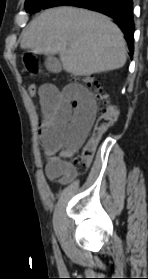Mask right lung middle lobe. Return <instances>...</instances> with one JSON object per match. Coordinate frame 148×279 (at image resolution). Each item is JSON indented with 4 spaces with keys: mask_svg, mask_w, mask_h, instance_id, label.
Returning <instances> with one entry per match:
<instances>
[{
    "mask_svg": "<svg viewBox=\"0 0 148 279\" xmlns=\"http://www.w3.org/2000/svg\"><path fill=\"white\" fill-rule=\"evenodd\" d=\"M49 0H26L25 9L28 13H35L43 8Z\"/></svg>",
    "mask_w": 148,
    "mask_h": 279,
    "instance_id": "dd1d6c3e",
    "label": "right lung middle lobe"
}]
</instances>
